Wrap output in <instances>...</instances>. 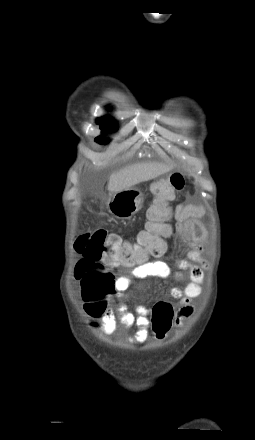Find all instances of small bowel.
<instances>
[{"label": "small bowel", "instance_id": "c3829d8e", "mask_svg": "<svg viewBox=\"0 0 255 440\" xmlns=\"http://www.w3.org/2000/svg\"><path fill=\"white\" fill-rule=\"evenodd\" d=\"M204 214V208L199 204H178L174 209L175 224L174 232L180 235L188 245L184 258L177 261L178 267L182 271H187L190 282L185 286L173 287L170 291L171 296L178 301V309L175 313L174 325L177 328L183 326L184 321L190 318L195 310L192 304L193 299L198 297L201 292V284L204 281V270L208 267V262L203 257L202 241L205 238V230L200 218ZM171 228H168L167 235H170ZM163 242V240L161 239ZM164 244V242H163ZM166 250L164 244V252ZM163 252V253H164ZM82 273H78L77 280ZM170 275L169 266L163 261H146L136 266L128 274L119 276L114 281V289L121 299L125 300L124 294L131 286L134 279L160 277L165 278ZM177 280L183 279L182 273H176ZM96 324V323H94ZM118 325L123 328L135 327V333L130 338V342L141 344L149 338L150 309L138 305L134 312L130 311L124 302H121L117 309V315L112 309H107L101 316V331L105 335L114 333Z\"/></svg>", "mask_w": 255, "mask_h": 440}]
</instances>
